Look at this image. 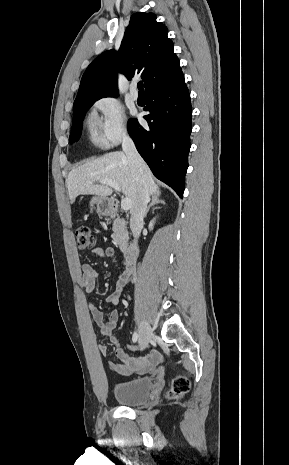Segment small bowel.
Segmentation results:
<instances>
[{
  "label": "small bowel",
  "instance_id": "obj_1",
  "mask_svg": "<svg viewBox=\"0 0 289 465\" xmlns=\"http://www.w3.org/2000/svg\"><path fill=\"white\" fill-rule=\"evenodd\" d=\"M93 253L99 258H111L115 255V249L113 247L95 248ZM132 269L125 266L123 272L118 276L115 291L106 298L105 302L113 306L119 304L120 299L124 293V287L130 281L132 277ZM99 277L98 271H96L91 264L85 263L82 265V276L80 283L84 288L85 292L91 293L96 286L97 279ZM88 309L93 317V320L98 325L100 333L103 337L109 338L116 346V356L119 359V363L109 362V367L120 375L130 374H146L152 372L157 365L162 361V355L158 351H152L145 359L135 364L134 360L124 351L120 346L119 340L114 336V330L118 324L119 314L117 309H112L105 319L103 313L99 307L94 303L88 304ZM100 353L105 355L107 353V347L101 345L99 347Z\"/></svg>",
  "mask_w": 289,
  "mask_h": 465
}]
</instances>
